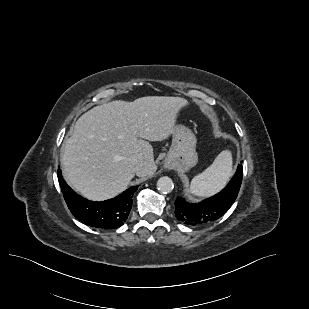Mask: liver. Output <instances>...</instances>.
<instances>
[{
	"mask_svg": "<svg viewBox=\"0 0 309 309\" xmlns=\"http://www.w3.org/2000/svg\"><path fill=\"white\" fill-rule=\"evenodd\" d=\"M187 106L180 97L147 96L92 108L77 120L64 142L65 180L90 200H106L124 191L135 173L152 175L157 166L149 141L168 138L179 111ZM134 157L141 163L138 173Z\"/></svg>",
	"mask_w": 309,
	"mask_h": 309,
	"instance_id": "obj_1",
	"label": "liver"
}]
</instances>
